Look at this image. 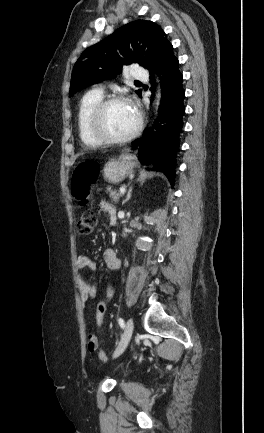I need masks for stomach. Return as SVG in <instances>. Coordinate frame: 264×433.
Returning a JSON list of instances; mask_svg holds the SVG:
<instances>
[{
    "label": "stomach",
    "instance_id": "1",
    "mask_svg": "<svg viewBox=\"0 0 264 433\" xmlns=\"http://www.w3.org/2000/svg\"><path fill=\"white\" fill-rule=\"evenodd\" d=\"M135 165L136 157L125 151L117 160L111 159L104 165L103 177L109 183L118 184L133 172Z\"/></svg>",
    "mask_w": 264,
    "mask_h": 433
}]
</instances>
